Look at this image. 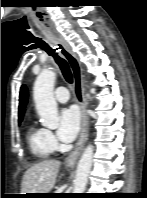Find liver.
<instances>
[{"label": "liver", "instance_id": "1", "mask_svg": "<svg viewBox=\"0 0 147 198\" xmlns=\"http://www.w3.org/2000/svg\"><path fill=\"white\" fill-rule=\"evenodd\" d=\"M59 167L57 160H44L31 166L23 176L22 194L49 193L56 183Z\"/></svg>", "mask_w": 147, "mask_h": 198}]
</instances>
